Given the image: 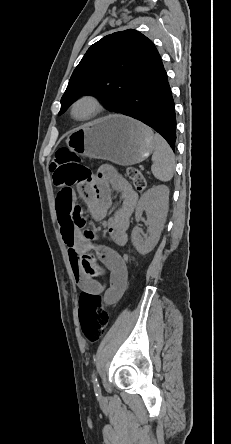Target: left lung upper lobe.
Segmentation results:
<instances>
[{
  "label": "left lung upper lobe",
  "mask_w": 231,
  "mask_h": 444,
  "mask_svg": "<svg viewBox=\"0 0 231 444\" xmlns=\"http://www.w3.org/2000/svg\"><path fill=\"white\" fill-rule=\"evenodd\" d=\"M158 55L153 42L136 30L105 36L87 50L75 68L61 98L59 114L82 95H95L118 113L140 75Z\"/></svg>",
  "instance_id": "5c2ea615"
}]
</instances>
